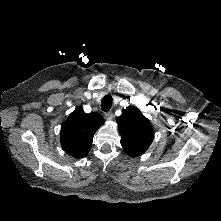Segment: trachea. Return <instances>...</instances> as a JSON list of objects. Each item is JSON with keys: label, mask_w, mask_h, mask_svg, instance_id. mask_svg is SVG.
I'll list each match as a JSON object with an SVG mask.
<instances>
[{"label": "trachea", "mask_w": 221, "mask_h": 221, "mask_svg": "<svg viewBox=\"0 0 221 221\" xmlns=\"http://www.w3.org/2000/svg\"><path fill=\"white\" fill-rule=\"evenodd\" d=\"M111 107H112L111 95L104 96L101 101V109L106 112V111L110 110Z\"/></svg>", "instance_id": "obj_1"}]
</instances>
